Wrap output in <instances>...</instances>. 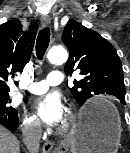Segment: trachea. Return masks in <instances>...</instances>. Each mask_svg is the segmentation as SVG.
<instances>
[{
  "label": "trachea",
  "instance_id": "trachea-1",
  "mask_svg": "<svg viewBox=\"0 0 130 153\" xmlns=\"http://www.w3.org/2000/svg\"><path fill=\"white\" fill-rule=\"evenodd\" d=\"M50 42V29L46 27L42 29L36 40V55L39 60L43 59V56L48 48Z\"/></svg>",
  "mask_w": 130,
  "mask_h": 153
}]
</instances>
